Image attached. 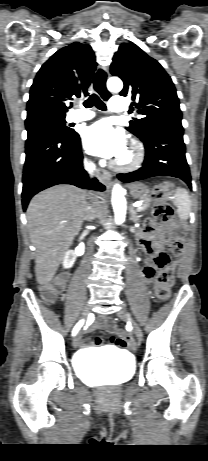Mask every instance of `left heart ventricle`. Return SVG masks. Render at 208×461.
<instances>
[{
    "label": "left heart ventricle",
    "mask_w": 208,
    "mask_h": 461,
    "mask_svg": "<svg viewBox=\"0 0 208 461\" xmlns=\"http://www.w3.org/2000/svg\"><path fill=\"white\" fill-rule=\"evenodd\" d=\"M129 157V152L125 149L124 153L119 157V160H127Z\"/></svg>",
    "instance_id": "1"
}]
</instances>
